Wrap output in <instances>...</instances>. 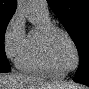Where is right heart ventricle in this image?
<instances>
[{
	"mask_svg": "<svg viewBox=\"0 0 89 89\" xmlns=\"http://www.w3.org/2000/svg\"><path fill=\"white\" fill-rule=\"evenodd\" d=\"M41 22L30 29L26 36L24 47L16 60L17 67L28 74L63 78L64 75L53 68L47 59L44 44L43 31L46 27L52 26L49 16L39 14Z\"/></svg>",
	"mask_w": 89,
	"mask_h": 89,
	"instance_id": "e07e8e85",
	"label": "right heart ventricle"
}]
</instances>
